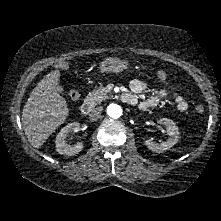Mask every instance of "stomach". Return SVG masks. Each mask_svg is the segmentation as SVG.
Wrapping results in <instances>:
<instances>
[{"mask_svg": "<svg viewBox=\"0 0 221 221\" xmlns=\"http://www.w3.org/2000/svg\"><path fill=\"white\" fill-rule=\"evenodd\" d=\"M129 63L127 60H122L120 58H105L99 64V70L101 73H110V72H120L127 69Z\"/></svg>", "mask_w": 221, "mask_h": 221, "instance_id": "stomach-1", "label": "stomach"}]
</instances>
